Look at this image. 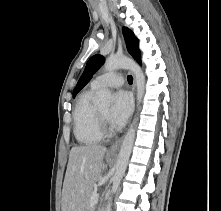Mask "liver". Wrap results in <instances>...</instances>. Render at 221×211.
<instances>
[{"label":"liver","mask_w":221,"mask_h":211,"mask_svg":"<svg viewBox=\"0 0 221 211\" xmlns=\"http://www.w3.org/2000/svg\"><path fill=\"white\" fill-rule=\"evenodd\" d=\"M106 151V147L96 144L71 149L63 183L62 211L84 210L85 199L105 167Z\"/></svg>","instance_id":"1"}]
</instances>
